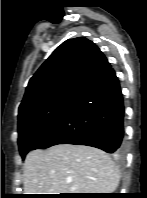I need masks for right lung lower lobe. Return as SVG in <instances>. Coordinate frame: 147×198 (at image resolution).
<instances>
[{"instance_id": "1", "label": "right lung lower lobe", "mask_w": 147, "mask_h": 198, "mask_svg": "<svg viewBox=\"0 0 147 198\" xmlns=\"http://www.w3.org/2000/svg\"><path fill=\"white\" fill-rule=\"evenodd\" d=\"M124 104L120 84L112 68L78 98L72 108L33 147L57 144L100 148L116 158L124 154Z\"/></svg>"}]
</instances>
